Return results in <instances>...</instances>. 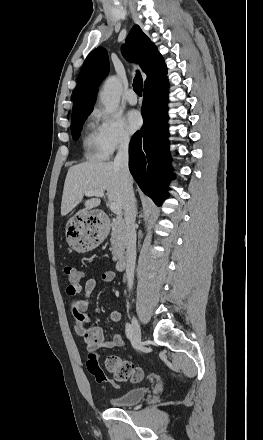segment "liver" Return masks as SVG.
Returning a JSON list of instances; mask_svg holds the SVG:
<instances>
[{
  "mask_svg": "<svg viewBox=\"0 0 263 440\" xmlns=\"http://www.w3.org/2000/svg\"><path fill=\"white\" fill-rule=\"evenodd\" d=\"M96 190L106 191L108 200L123 208L121 174L113 162L90 161L70 167L64 183L61 215H67L81 203L85 192ZM99 205L100 199L98 198L86 200L85 207L79 210L76 215L87 213Z\"/></svg>",
  "mask_w": 263,
  "mask_h": 440,
  "instance_id": "obj_1",
  "label": "liver"
}]
</instances>
